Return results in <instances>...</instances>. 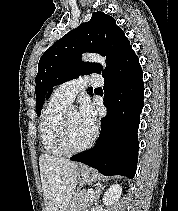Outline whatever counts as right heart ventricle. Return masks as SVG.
Returning <instances> with one entry per match:
<instances>
[{
	"label": "right heart ventricle",
	"instance_id": "1",
	"mask_svg": "<svg viewBox=\"0 0 178 211\" xmlns=\"http://www.w3.org/2000/svg\"><path fill=\"white\" fill-rule=\"evenodd\" d=\"M68 102L51 95L40 122V138L44 149L51 155H64L65 150L60 144L61 120L68 106Z\"/></svg>",
	"mask_w": 178,
	"mask_h": 211
}]
</instances>
